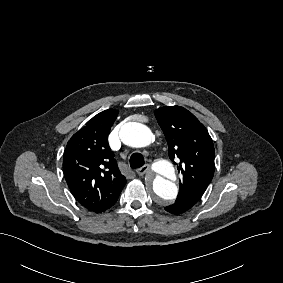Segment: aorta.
<instances>
[{
    "label": "aorta",
    "mask_w": 283,
    "mask_h": 283,
    "mask_svg": "<svg viewBox=\"0 0 283 283\" xmlns=\"http://www.w3.org/2000/svg\"><path fill=\"white\" fill-rule=\"evenodd\" d=\"M120 137L124 144L141 148L150 145L153 134L151 130L137 122H129L122 126ZM154 170L157 173L151 183V188L159 201L174 200L178 194V188L172 181L175 178L173 165L167 160L158 161Z\"/></svg>",
    "instance_id": "1"
}]
</instances>
